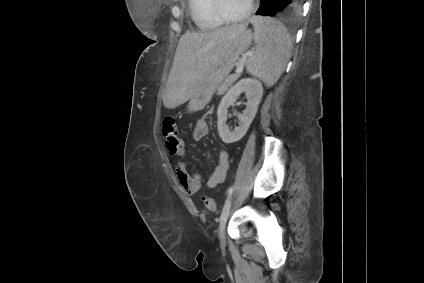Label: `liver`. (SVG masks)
I'll return each mask as SVG.
<instances>
[{
    "instance_id": "1",
    "label": "liver",
    "mask_w": 424,
    "mask_h": 283,
    "mask_svg": "<svg viewBox=\"0 0 424 283\" xmlns=\"http://www.w3.org/2000/svg\"><path fill=\"white\" fill-rule=\"evenodd\" d=\"M248 23L207 31H187L180 37L163 93V105L175 108L199 90L232 41Z\"/></svg>"
}]
</instances>
